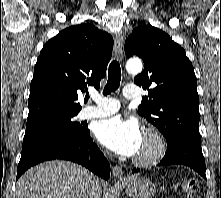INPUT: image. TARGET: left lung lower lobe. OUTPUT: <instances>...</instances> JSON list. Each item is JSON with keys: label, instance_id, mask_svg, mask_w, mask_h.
<instances>
[{"label": "left lung lower lobe", "instance_id": "left-lung-lower-lobe-1", "mask_svg": "<svg viewBox=\"0 0 221 198\" xmlns=\"http://www.w3.org/2000/svg\"><path fill=\"white\" fill-rule=\"evenodd\" d=\"M160 165H186L197 171L206 179L205 161L202 154L201 142L196 140H180L168 144ZM133 169V173L139 172Z\"/></svg>", "mask_w": 221, "mask_h": 198}]
</instances>
